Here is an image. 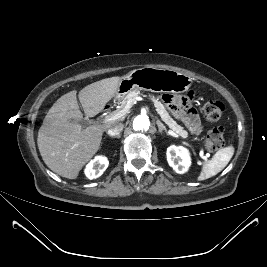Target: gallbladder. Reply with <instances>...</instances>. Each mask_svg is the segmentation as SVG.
<instances>
[{"mask_svg": "<svg viewBox=\"0 0 267 267\" xmlns=\"http://www.w3.org/2000/svg\"><path fill=\"white\" fill-rule=\"evenodd\" d=\"M72 121H75V120H72ZM78 123H79L80 125H84L86 122H85L84 120H80V121H78Z\"/></svg>", "mask_w": 267, "mask_h": 267, "instance_id": "gallbladder-1", "label": "gallbladder"}]
</instances>
